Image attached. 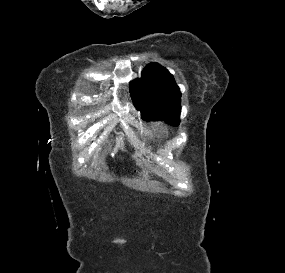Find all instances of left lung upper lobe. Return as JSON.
Segmentation results:
<instances>
[{
    "mask_svg": "<svg viewBox=\"0 0 285 273\" xmlns=\"http://www.w3.org/2000/svg\"><path fill=\"white\" fill-rule=\"evenodd\" d=\"M130 94L143 118L179 124L181 93L173 75L163 67L147 65L141 78L130 82Z\"/></svg>",
    "mask_w": 285,
    "mask_h": 273,
    "instance_id": "left-lung-upper-lobe-1",
    "label": "left lung upper lobe"
}]
</instances>
